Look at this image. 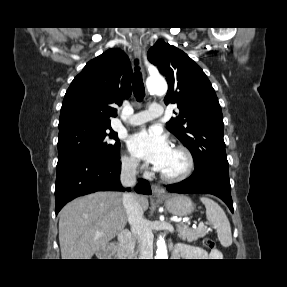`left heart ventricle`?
Returning a JSON list of instances; mask_svg holds the SVG:
<instances>
[{
    "label": "left heart ventricle",
    "mask_w": 287,
    "mask_h": 287,
    "mask_svg": "<svg viewBox=\"0 0 287 287\" xmlns=\"http://www.w3.org/2000/svg\"><path fill=\"white\" fill-rule=\"evenodd\" d=\"M185 166L186 160L184 155L174 149H171L160 171L173 175L182 172Z\"/></svg>",
    "instance_id": "left-heart-ventricle-1"
}]
</instances>
